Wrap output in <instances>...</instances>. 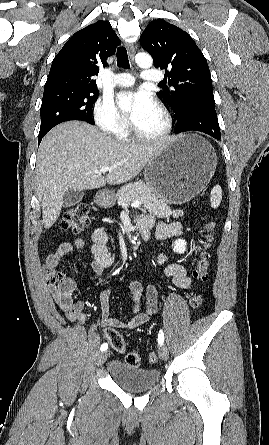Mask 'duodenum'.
<instances>
[{
    "mask_svg": "<svg viewBox=\"0 0 269 445\" xmlns=\"http://www.w3.org/2000/svg\"><path fill=\"white\" fill-rule=\"evenodd\" d=\"M143 237H144L145 239H147L149 236H148V235H143Z\"/></svg>",
    "mask_w": 269,
    "mask_h": 445,
    "instance_id": "duodenum-1",
    "label": "duodenum"
}]
</instances>
